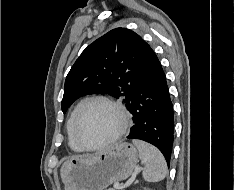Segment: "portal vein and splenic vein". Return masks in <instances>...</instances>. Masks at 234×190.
I'll return each instance as SVG.
<instances>
[{"instance_id": "obj_1", "label": "portal vein and splenic vein", "mask_w": 234, "mask_h": 190, "mask_svg": "<svg viewBox=\"0 0 234 190\" xmlns=\"http://www.w3.org/2000/svg\"><path fill=\"white\" fill-rule=\"evenodd\" d=\"M114 188H115V189H122L123 187L120 186L119 183H114Z\"/></svg>"}]
</instances>
